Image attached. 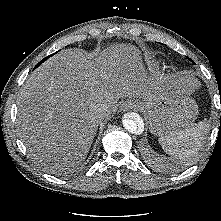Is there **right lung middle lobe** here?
Listing matches in <instances>:
<instances>
[{"instance_id": "obj_1", "label": "right lung middle lobe", "mask_w": 221, "mask_h": 221, "mask_svg": "<svg viewBox=\"0 0 221 221\" xmlns=\"http://www.w3.org/2000/svg\"><path fill=\"white\" fill-rule=\"evenodd\" d=\"M48 57H50V56H47L46 58H44L42 61H40L38 64H37V66H39L42 62H44V60H46ZM36 66V67H37Z\"/></svg>"}]
</instances>
